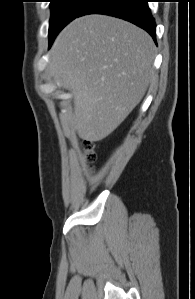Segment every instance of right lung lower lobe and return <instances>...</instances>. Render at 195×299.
I'll return each mask as SVG.
<instances>
[{
  "label": "right lung lower lobe",
  "mask_w": 195,
  "mask_h": 299,
  "mask_svg": "<svg viewBox=\"0 0 195 299\" xmlns=\"http://www.w3.org/2000/svg\"><path fill=\"white\" fill-rule=\"evenodd\" d=\"M93 13L129 21L147 31L156 40V23L147 0H91L77 17Z\"/></svg>",
  "instance_id": "obj_1"
}]
</instances>
